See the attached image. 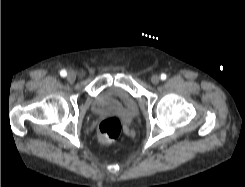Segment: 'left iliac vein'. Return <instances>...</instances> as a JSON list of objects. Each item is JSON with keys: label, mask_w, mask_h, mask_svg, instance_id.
<instances>
[{"label": "left iliac vein", "mask_w": 245, "mask_h": 187, "mask_svg": "<svg viewBox=\"0 0 245 187\" xmlns=\"http://www.w3.org/2000/svg\"><path fill=\"white\" fill-rule=\"evenodd\" d=\"M160 82V77L158 75H153L151 77V83L157 85Z\"/></svg>", "instance_id": "4c4485c4"}]
</instances>
